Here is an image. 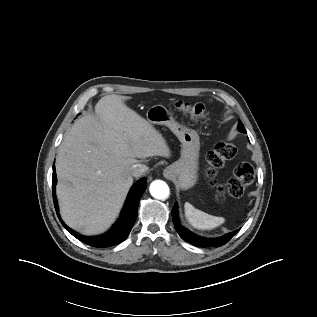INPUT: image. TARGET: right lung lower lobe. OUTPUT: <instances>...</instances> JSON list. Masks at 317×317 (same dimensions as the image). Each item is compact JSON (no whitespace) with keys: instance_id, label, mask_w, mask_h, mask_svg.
Listing matches in <instances>:
<instances>
[{"instance_id":"1","label":"right lung lower lobe","mask_w":317,"mask_h":317,"mask_svg":"<svg viewBox=\"0 0 317 317\" xmlns=\"http://www.w3.org/2000/svg\"><path fill=\"white\" fill-rule=\"evenodd\" d=\"M52 184H53L52 190H53V200H54L55 210L63 226L66 228L67 231L70 232V234H72L77 239L81 240L82 242L90 246L98 247V248H106L109 246L116 245L127 238L137 218V210H138L140 198L147 186L145 177L140 179L136 184L132 186L128 194V197H127V200H126V203L120 218L107 233H105L102 236L86 237L72 230L71 228H69L60 218L58 205H57V199L55 195L56 173H55L54 165H53Z\"/></svg>"}]
</instances>
